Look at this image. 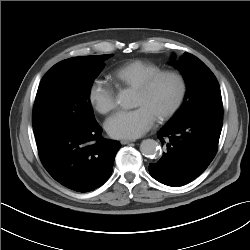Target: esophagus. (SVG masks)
Listing matches in <instances>:
<instances>
[{"label": "esophagus", "instance_id": "34e87169", "mask_svg": "<svg viewBox=\"0 0 250 250\" xmlns=\"http://www.w3.org/2000/svg\"><path fill=\"white\" fill-rule=\"evenodd\" d=\"M120 142H121L122 145H125V144H129V143L135 142V140L122 139Z\"/></svg>", "mask_w": 250, "mask_h": 250}]
</instances>
